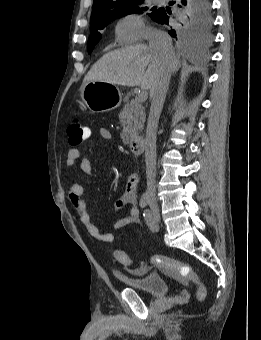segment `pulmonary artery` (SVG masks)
<instances>
[{"mask_svg":"<svg viewBox=\"0 0 261 340\" xmlns=\"http://www.w3.org/2000/svg\"><path fill=\"white\" fill-rule=\"evenodd\" d=\"M155 2H161V0H154Z\"/></svg>","mask_w":261,"mask_h":340,"instance_id":"e3ab8cb5","label":"pulmonary artery"}]
</instances>
